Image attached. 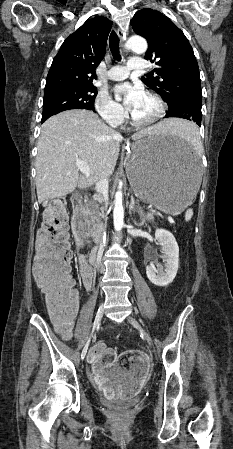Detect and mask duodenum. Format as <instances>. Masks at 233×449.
Returning <instances> with one entry per match:
<instances>
[{
	"instance_id": "410a0bca",
	"label": "duodenum",
	"mask_w": 233,
	"mask_h": 449,
	"mask_svg": "<svg viewBox=\"0 0 233 449\" xmlns=\"http://www.w3.org/2000/svg\"><path fill=\"white\" fill-rule=\"evenodd\" d=\"M72 204H73L72 226L78 244H81L87 229L85 216L83 213L84 198L81 195H76L72 199ZM98 260H99V252L97 249H93L87 254H82L80 256V272L94 273V267L98 262Z\"/></svg>"
}]
</instances>
